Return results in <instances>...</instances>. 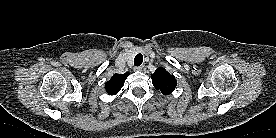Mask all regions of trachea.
Wrapping results in <instances>:
<instances>
[{
  "instance_id": "obj_1",
  "label": "trachea",
  "mask_w": 276,
  "mask_h": 138,
  "mask_svg": "<svg viewBox=\"0 0 276 138\" xmlns=\"http://www.w3.org/2000/svg\"><path fill=\"white\" fill-rule=\"evenodd\" d=\"M143 62V55L142 54H137L134 58V65L135 66H140Z\"/></svg>"
}]
</instances>
